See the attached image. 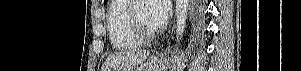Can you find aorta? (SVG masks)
<instances>
[{
    "instance_id": "1",
    "label": "aorta",
    "mask_w": 301,
    "mask_h": 71,
    "mask_svg": "<svg viewBox=\"0 0 301 71\" xmlns=\"http://www.w3.org/2000/svg\"><path fill=\"white\" fill-rule=\"evenodd\" d=\"M189 2H190V0H176L175 1L177 42H179L182 39L184 30L186 27Z\"/></svg>"
}]
</instances>
